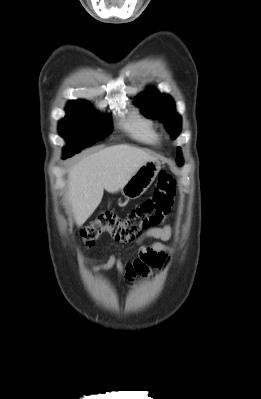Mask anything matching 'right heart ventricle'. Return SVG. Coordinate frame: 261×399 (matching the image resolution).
I'll list each match as a JSON object with an SVG mask.
<instances>
[{
	"label": "right heart ventricle",
	"mask_w": 261,
	"mask_h": 399,
	"mask_svg": "<svg viewBox=\"0 0 261 399\" xmlns=\"http://www.w3.org/2000/svg\"><path fill=\"white\" fill-rule=\"evenodd\" d=\"M123 129L136 141L156 145L160 141L154 124L138 113L130 114L123 123Z\"/></svg>",
	"instance_id": "obj_1"
}]
</instances>
